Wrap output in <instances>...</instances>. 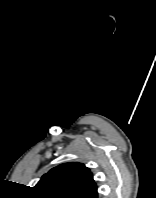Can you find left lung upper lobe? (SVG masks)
Returning a JSON list of instances; mask_svg holds the SVG:
<instances>
[{"mask_svg": "<svg viewBox=\"0 0 156 198\" xmlns=\"http://www.w3.org/2000/svg\"><path fill=\"white\" fill-rule=\"evenodd\" d=\"M34 189L39 198H98L93 175L81 163H64L51 169Z\"/></svg>", "mask_w": 156, "mask_h": 198, "instance_id": "1", "label": "left lung upper lobe"}]
</instances>
